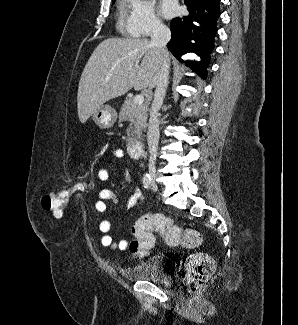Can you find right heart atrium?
Segmentation results:
<instances>
[{"mask_svg":"<svg viewBox=\"0 0 298 325\" xmlns=\"http://www.w3.org/2000/svg\"><path fill=\"white\" fill-rule=\"evenodd\" d=\"M129 24L125 25L126 37L144 41L149 30H162L163 24L155 11L153 0H131L129 3Z\"/></svg>","mask_w":298,"mask_h":325,"instance_id":"right-heart-atrium-1","label":"right heart atrium"}]
</instances>
